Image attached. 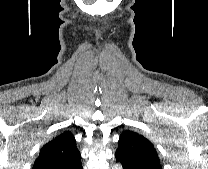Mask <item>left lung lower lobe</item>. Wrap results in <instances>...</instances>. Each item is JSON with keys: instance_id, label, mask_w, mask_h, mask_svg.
I'll list each match as a JSON object with an SVG mask.
<instances>
[{"instance_id": "obj_1", "label": "left lung lower lobe", "mask_w": 208, "mask_h": 169, "mask_svg": "<svg viewBox=\"0 0 208 169\" xmlns=\"http://www.w3.org/2000/svg\"><path fill=\"white\" fill-rule=\"evenodd\" d=\"M115 157L116 160L121 163L123 169H141L136 164H134L131 159L120 152H115Z\"/></svg>"}]
</instances>
